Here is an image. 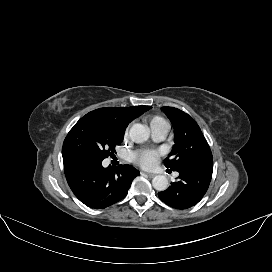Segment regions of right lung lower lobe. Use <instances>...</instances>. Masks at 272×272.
<instances>
[{
    "label": "right lung lower lobe",
    "mask_w": 272,
    "mask_h": 272,
    "mask_svg": "<svg viewBox=\"0 0 272 272\" xmlns=\"http://www.w3.org/2000/svg\"><path fill=\"white\" fill-rule=\"evenodd\" d=\"M63 163L68 185L75 196L94 209L106 208L123 199L133 179L140 174L131 165H120L114 170L97 162L68 160Z\"/></svg>",
    "instance_id": "right-lung-lower-lobe-1"
}]
</instances>
